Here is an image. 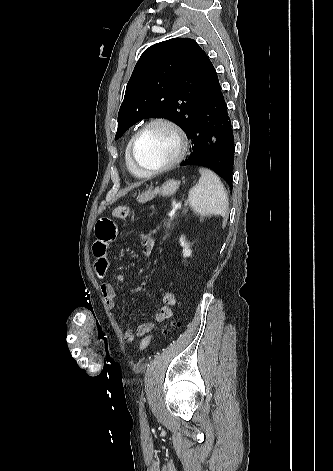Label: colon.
Segmentation results:
<instances>
[{
  "label": "colon",
  "instance_id": "colon-1",
  "mask_svg": "<svg viewBox=\"0 0 333 471\" xmlns=\"http://www.w3.org/2000/svg\"><path fill=\"white\" fill-rule=\"evenodd\" d=\"M112 214L116 218L123 219V218H126V217L129 216L130 208L128 206H118V207H115L113 209ZM179 325H180V323L177 320H172L169 323H167L166 325H164L161 328V331H164L167 327L177 328V327H179ZM153 337H154L153 335H148V336L144 337L141 340L140 344H139V349L141 351L146 349L149 346V344L151 343Z\"/></svg>",
  "mask_w": 333,
  "mask_h": 471
}]
</instances>
